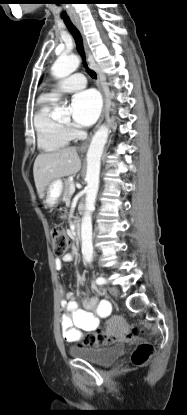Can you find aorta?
I'll list each match as a JSON object with an SVG mask.
<instances>
[{"label":"aorta","instance_id":"762f6f07","mask_svg":"<svg viewBox=\"0 0 187 415\" xmlns=\"http://www.w3.org/2000/svg\"><path fill=\"white\" fill-rule=\"evenodd\" d=\"M79 63L80 60L75 55L59 56L51 67L52 75L57 79L65 78L78 68ZM64 114L61 107L55 106L52 116L59 118ZM108 135V127L102 125L94 134L87 152L85 212L81 223L82 252L87 262H91L93 258L92 211L99 189L100 160Z\"/></svg>","mask_w":187,"mask_h":415}]
</instances>
